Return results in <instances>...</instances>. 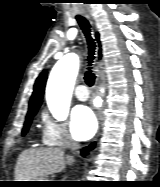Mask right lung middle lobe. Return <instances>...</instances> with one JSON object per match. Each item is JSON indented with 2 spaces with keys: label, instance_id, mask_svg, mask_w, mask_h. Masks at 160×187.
Returning <instances> with one entry per match:
<instances>
[{
  "label": "right lung middle lobe",
  "instance_id": "right-lung-middle-lobe-1",
  "mask_svg": "<svg viewBox=\"0 0 160 187\" xmlns=\"http://www.w3.org/2000/svg\"><path fill=\"white\" fill-rule=\"evenodd\" d=\"M37 110H32L30 112H28L27 116H26V121H25V124H24V127H23V130H22V134H26L28 129H29V126L31 124V121H32V118L34 117V115L36 114Z\"/></svg>",
  "mask_w": 160,
  "mask_h": 187
}]
</instances>
